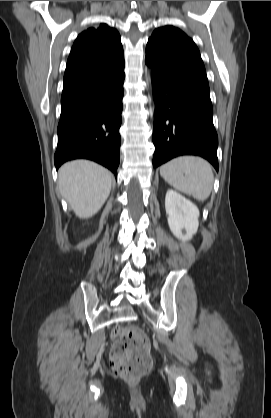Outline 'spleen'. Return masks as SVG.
<instances>
[{
  "instance_id": "obj_1",
  "label": "spleen",
  "mask_w": 271,
  "mask_h": 418,
  "mask_svg": "<svg viewBox=\"0 0 271 418\" xmlns=\"http://www.w3.org/2000/svg\"><path fill=\"white\" fill-rule=\"evenodd\" d=\"M162 178L176 190L192 195L198 201L206 200L213 189L211 165L197 156H180L160 167Z\"/></svg>"
}]
</instances>
